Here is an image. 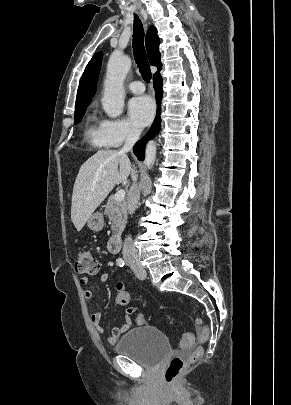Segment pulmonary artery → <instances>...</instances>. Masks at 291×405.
<instances>
[{
    "label": "pulmonary artery",
    "mask_w": 291,
    "mask_h": 405,
    "mask_svg": "<svg viewBox=\"0 0 291 405\" xmlns=\"http://www.w3.org/2000/svg\"><path fill=\"white\" fill-rule=\"evenodd\" d=\"M128 88L135 94H141L144 92L145 87L140 81H133L128 84Z\"/></svg>",
    "instance_id": "pulmonary-artery-1"
}]
</instances>
